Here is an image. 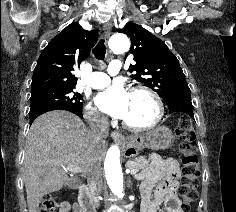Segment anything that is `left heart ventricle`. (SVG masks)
Here are the masks:
<instances>
[{
	"label": "left heart ventricle",
	"mask_w": 236,
	"mask_h": 212,
	"mask_svg": "<svg viewBox=\"0 0 236 212\" xmlns=\"http://www.w3.org/2000/svg\"><path fill=\"white\" fill-rule=\"evenodd\" d=\"M156 114L154 102L143 93H130L126 122L134 126H143L150 123Z\"/></svg>",
	"instance_id": "obj_1"
}]
</instances>
